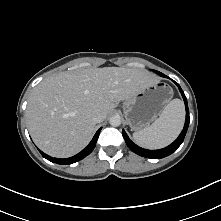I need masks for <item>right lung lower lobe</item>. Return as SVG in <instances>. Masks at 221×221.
<instances>
[{"label":"right lung lower lobe","instance_id":"obj_1","mask_svg":"<svg viewBox=\"0 0 221 221\" xmlns=\"http://www.w3.org/2000/svg\"><path fill=\"white\" fill-rule=\"evenodd\" d=\"M101 128L96 132V134L94 135L93 139L91 140V142L88 144V146L86 148H84L80 153L70 157V158H65V159H60V158H53L45 153H43L42 151L39 152L41 153V155L46 158L47 160L56 163V164H73L77 161L82 160L83 158H85L87 155H89L93 149L95 148L99 133H100Z\"/></svg>","mask_w":221,"mask_h":221}]
</instances>
